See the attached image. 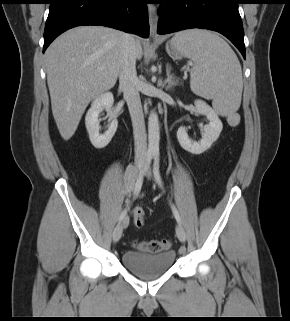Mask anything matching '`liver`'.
<instances>
[{"mask_svg":"<svg viewBox=\"0 0 290 321\" xmlns=\"http://www.w3.org/2000/svg\"><path fill=\"white\" fill-rule=\"evenodd\" d=\"M124 35L109 27L79 26L48 47L45 64L52 114L64 140L74 135L90 101L114 87ZM135 41L136 58L141 59V42Z\"/></svg>","mask_w":290,"mask_h":321,"instance_id":"1","label":"liver"}]
</instances>
